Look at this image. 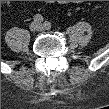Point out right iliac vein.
I'll use <instances>...</instances> for the list:
<instances>
[{
    "mask_svg": "<svg viewBox=\"0 0 109 109\" xmlns=\"http://www.w3.org/2000/svg\"><path fill=\"white\" fill-rule=\"evenodd\" d=\"M31 29H32V30L37 29V24H36V23L31 24Z\"/></svg>",
    "mask_w": 109,
    "mask_h": 109,
    "instance_id": "right-iliac-vein-1",
    "label": "right iliac vein"
}]
</instances>
